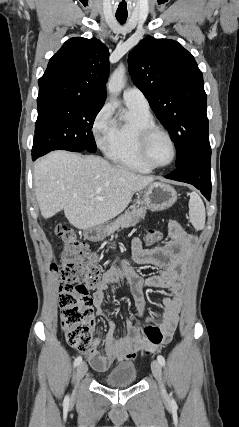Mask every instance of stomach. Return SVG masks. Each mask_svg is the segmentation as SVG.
<instances>
[{
    "mask_svg": "<svg viewBox=\"0 0 239 427\" xmlns=\"http://www.w3.org/2000/svg\"><path fill=\"white\" fill-rule=\"evenodd\" d=\"M177 200V193L168 184L155 182L146 187L144 204L152 211H163L170 208ZM139 222V221H138ZM107 226L99 225L84 230V237L89 241H101L107 235Z\"/></svg>",
    "mask_w": 239,
    "mask_h": 427,
    "instance_id": "1",
    "label": "stomach"
}]
</instances>
